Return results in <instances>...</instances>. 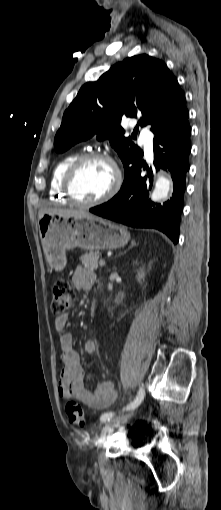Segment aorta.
Here are the masks:
<instances>
[{
	"instance_id": "1",
	"label": "aorta",
	"mask_w": 221,
	"mask_h": 510,
	"mask_svg": "<svg viewBox=\"0 0 221 510\" xmlns=\"http://www.w3.org/2000/svg\"><path fill=\"white\" fill-rule=\"evenodd\" d=\"M170 185L171 181L168 178L159 175L155 183V189L151 195L152 200L159 201L167 198L170 191Z\"/></svg>"
}]
</instances>
